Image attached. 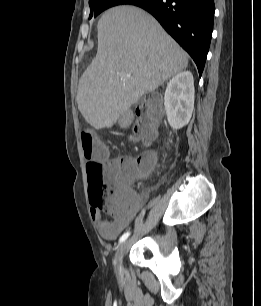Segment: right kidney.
Returning a JSON list of instances; mask_svg holds the SVG:
<instances>
[{"mask_svg":"<svg viewBox=\"0 0 261 306\" xmlns=\"http://www.w3.org/2000/svg\"><path fill=\"white\" fill-rule=\"evenodd\" d=\"M164 107L168 123L180 129L190 121L194 108V79L189 71L178 73L167 84Z\"/></svg>","mask_w":261,"mask_h":306,"instance_id":"1","label":"right kidney"}]
</instances>
